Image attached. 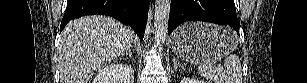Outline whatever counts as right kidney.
Here are the masks:
<instances>
[{
	"label": "right kidney",
	"mask_w": 307,
	"mask_h": 83,
	"mask_svg": "<svg viewBox=\"0 0 307 83\" xmlns=\"http://www.w3.org/2000/svg\"><path fill=\"white\" fill-rule=\"evenodd\" d=\"M93 83H134V70L127 64H110L102 68Z\"/></svg>",
	"instance_id": "right-kidney-1"
}]
</instances>
